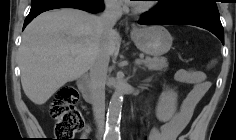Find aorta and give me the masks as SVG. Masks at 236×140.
I'll return each mask as SVG.
<instances>
[{
	"label": "aorta",
	"mask_w": 236,
	"mask_h": 140,
	"mask_svg": "<svg viewBox=\"0 0 236 140\" xmlns=\"http://www.w3.org/2000/svg\"><path fill=\"white\" fill-rule=\"evenodd\" d=\"M123 97L124 91L121 86H118L111 97L107 111L105 133L107 140H118L120 137L119 124L121 119Z\"/></svg>",
	"instance_id": "1"
}]
</instances>
